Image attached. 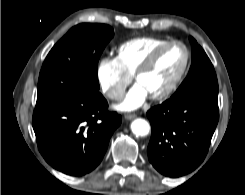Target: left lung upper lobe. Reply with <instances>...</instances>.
Wrapping results in <instances>:
<instances>
[{
    "label": "left lung upper lobe",
    "mask_w": 245,
    "mask_h": 195,
    "mask_svg": "<svg viewBox=\"0 0 245 195\" xmlns=\"http://www.w3.org/2000/svg\"><path fill=\"white\" fill-rule=\"evenodd\" d=\"M189 39L192 48L191 67L186 79L170 99L218 103V81L214 67L196 40L193 37Z\"/></svg>",
    "instance_id": "obj_1"
}]
</instances>
